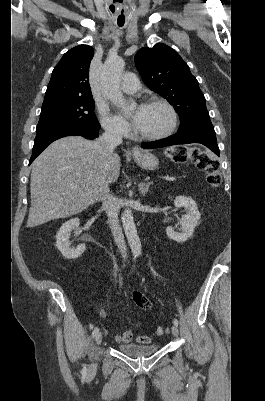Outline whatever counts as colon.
Segmentation results:
<instances>
[{"instance_id": "1", "label": "colon", "mask_w": 265, "mask_h": 401, "mask_svg": "<svg viewBox=\"0 0 265 401\" xmlns=\"http://www.w3.org/2000/svg\"><path fill=\"white\" fill-rule=\"evenodd\" d=\"M166 155L173 161L183 162L191 160L200 170L206 174V181L212 188H218L222 182V176L217 161L213 160L210 155L198 148H188L184 146H176L167 149ZM145 308V305H142ZM165 332L163 327L156 329L157 335H163Z\"/></svg>"}]
</instances>
